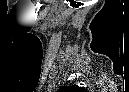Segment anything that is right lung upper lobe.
<instances>
[{
	"label": "right lung upper lobe",
	"instance_id": "cb5924a9",
	"mask_svg": "<svg viewBox=\"0 0 129 92\" xmlns=\"http://www.w3.org/2000/svg\"><path fill=\"white\" fill-rule=\"evenodd\" d=\"M80 90V88L76 85H72V86H61L58 90V92H74V91H78Z\"/></svg>",
	"mask_w": 129,
	"mask_h": 92
}]
</instances>
